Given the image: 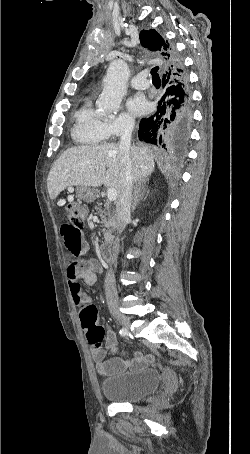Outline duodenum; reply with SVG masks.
I'll return each mask as SVG.
<instances>
[{
	"instance_id": "obj_1",
	"label": "duodenum",
	"mask_w": 250,
	"mask_h": 454,
	"mask_svg": "<svg viewBox=\"0 0 250 454\" xmlns=\"http://www.w3.org/2000/svg\"><path fill=\"white\" fill-rule=\"evenodd\" d=\"M101 255L103 260L106 263H114L115 258H114V250L115 247L111 242H106L101 246Z\"/></svg>"
}]
</instances>
